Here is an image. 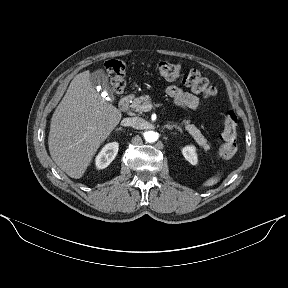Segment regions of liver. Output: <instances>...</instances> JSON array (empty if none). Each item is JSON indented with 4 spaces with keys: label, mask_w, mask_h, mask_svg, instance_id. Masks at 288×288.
I'll return each mask as SVG.
<instances>
[{
    "label": "liver",
    "mask_w": 288,
    "mask_h": 288,
    "mask_svg": "<svg viewBox=\"0 0 288 288\" xmlns=\"http://www.w3.org/2000/svg\"><path fill=\"white\" fill-rule=\"evenodd\" d=\"M121 118L122 113L95 90L90 72L79 73L51 118V158L68 176L81 178Z\"/></svg>",
    "instance_id": "obj_1"
}]
</instances>
